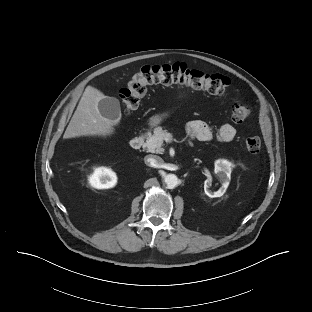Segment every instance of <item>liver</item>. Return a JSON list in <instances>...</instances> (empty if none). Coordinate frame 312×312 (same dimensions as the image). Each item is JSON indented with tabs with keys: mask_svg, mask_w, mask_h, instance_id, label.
<instances>
[{
	"mask_svg": "<svg viewBox=\"0 0 312 312\" xmlns=\"http://www.w3.org/2000/svg\"><path fill=\"white\" fill-rule=\"evenodd\" d=\"M106 97L98 89L88 86L63 135L64 139L80 136H107L114 132L115 122L101 115L98 103Z\"/></svg>",
	"mask_w": 312,
	"mask_h": 312,
	"instance_id": "1",
	"label": "liver"
}]
</instances>
